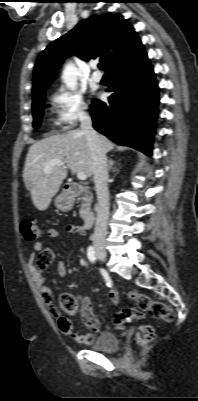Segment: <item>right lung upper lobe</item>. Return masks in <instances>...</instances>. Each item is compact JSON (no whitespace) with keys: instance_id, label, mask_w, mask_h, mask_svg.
<instances>
[{"instance_id":"obj_1","label":"right lung upper lobe","mask_w":198,"mask_h":401,"mask_svg":"<svg viewBox=\"0 0 198 401\" xmlns=\"http://www.w3.org/2000/svg\"><path fill=\"white\" fill-rule=\"evenodd\" d=\"M141 44L134 28L120 14L94 15L52 42L38 56L33 74V97L45 92L62 61L71 54L83 60L99 57L108 71Z\"/></svg>"}]
</instances>
